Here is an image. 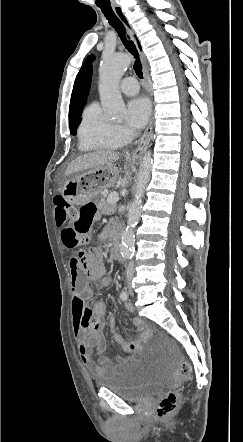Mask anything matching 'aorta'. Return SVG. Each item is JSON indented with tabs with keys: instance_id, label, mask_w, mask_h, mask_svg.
Returning a JSON list of instances; mask_svg holds the SVG:
<instances>
[{
	"instance_id": "1",
	"label": "aorta",
	"mask_w": 243,
	"mask_h": 442,
	"mask_svg": "<svg viewBox=\"0 0 243 442\" xmlns=\"http://www.w3.org/2000/svg\"><path fill=\"white\" fill-rule=\"evenodd\" d=\"M129 66L130 58L127 54L106 55L100 65V97L102 107L110 118H120L125 113V103L118 83ZM151 169L152 156L148 151L140 163L133 200L128 208L127 225L121 237L120 253L126 259L133 256L134 228L141 215L142 199L150 179Z\"/></svg>"
}]
</instances>
